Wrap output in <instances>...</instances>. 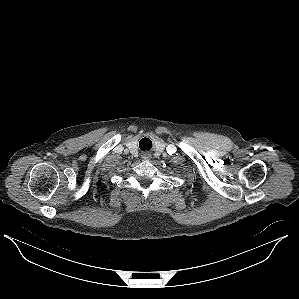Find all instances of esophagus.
<instances>
[{
    "label": "esophagus",
    "mask_w": 299,
    "mask_h": 299,
    "mask_svg": "<svg viewBox=\"0 0 299 299\" xmlns=\"http://www.w3.org/2000/svg\"><path fill=\"white\" fill-rule=\"evenodd\" d=\"M141 156L144 160H149L151 158V155L147 152L143 153Z\"/></svg>",
    "instance_id": "1"
}]
</instances>
